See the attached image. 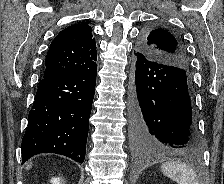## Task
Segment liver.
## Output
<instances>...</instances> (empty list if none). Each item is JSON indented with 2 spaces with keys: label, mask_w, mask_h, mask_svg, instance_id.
I'll return each mask as SVG.
<instances>
[{
  "label": "liver",
  "mask_w": 224,
  "mask_h": 184,
  "mask_svg": "<svg viewBox=\"0 0 224 184\" xmlns=\"http://www.w3.org/2000/svg\"><path fill=\"white\" fill-rule=\"evenodd\" d=\"M30 168H31V164H28L26 169L28 170Z\"/></svg>",
  "instance_id": "obj_1"
}]
</instances>
